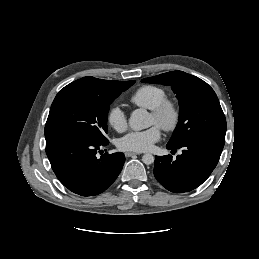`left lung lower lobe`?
<instances>
[{
  "mask_svg": "<svg viewBox=\"0 0 259 259\" xmlns=\"http://www.w3.org/2000/svg\"><path fill=\"white\" fill-rule=\"evenodd\" d=\"M225 143V137L206 134L187 140L179 148L167 145V149L182 154L176 160L172 156H156L154 176L167 190L188 192L200 186L216 167Z\"/></svg>",
  "mask_w": 259,
  "mask_h": 259,
  "instance_id": "0a47b994",
  "label": "left lung lower lobe"
}]
</instances>
